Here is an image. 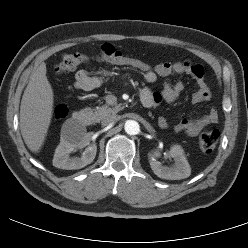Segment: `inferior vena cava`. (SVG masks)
<instances>
[{
    "instance_id": "obj_1",
    "label": "inferior vena cava",
    "mask_w": 248,
    "mask_h": 248,
    "mask_svg": "<svg viewBox=\"0 0 248 248\" xmlns=\"http://www.w3.org/2000/svg\"><path fill=\"white\" fill-rule=\"evenodd\" d=\"M119 120L117 115H110L102 119L101 124L102 126L111 125Z\"/></svg>"
}]
</instances>
